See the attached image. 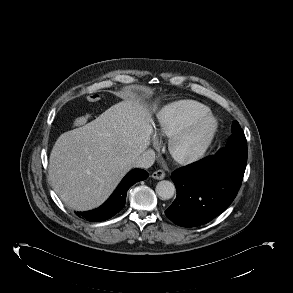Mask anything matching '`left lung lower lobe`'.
Returning a JSON list of instances; mask_svg holds the SVG:
<instances>
[{"instance_id":"1","label":"left lung lower lobe","mask_w":293,"mask_h":293,"mask_svg":"<svg viewBox=\"0 0 293 293\" xmlns=\"http://www.w3.org/2000/svg\"><path fill=\"white\" fill-rule=\"evenodd\" d=\"M247 163V143L175 170L177 197L165 211L175 224L195 227L221 214L234 200Z\"/></svg>"}]
</instances>
